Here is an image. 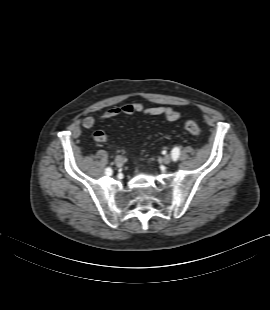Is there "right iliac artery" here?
I'll list each match as a JSON object with an SVG mask.
<instances>
[{"label": "right iliac artery", "mask_w": 270, "mask_h": 310, "mask_svg": "<svg viewBox=\"0 0 270 310\" xmlns=\"http://www.w3.org/2000/svg\"><path fill=\"white\" fill-rule=\"evenodd\" d=\"M106 174H107V175H111V174H112V169H111L110 167H108V168L106 169Z\"/></svg>", "instance_id": "82829eb1"}]
</instances>
